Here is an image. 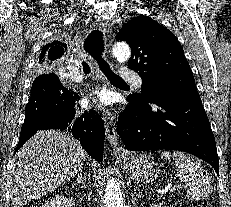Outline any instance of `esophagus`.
I'll return each mask as SVG.
<instances>
[{
	"mask_svg": "<svg viewBox=\"0 0 231 207\" xmlns=\"http://www.w3.org/2000/svg\"><path fill=\"white\" fill-rule=\"evenodd\" d=\"M97 26L102 31L108 32L110 28V23L107 20L98 19ZM103 119L105 123L106 139L109 142L110 146L112 147L113 153L117 154L124 151L122 146L119 145L114 114L106 110Z\"/></svg>",
	"mask_w": 231,
	"mask_h": 207,
	"instance_id": "esophagus-1",
	"label": "esophagus"
}]
</instances>
